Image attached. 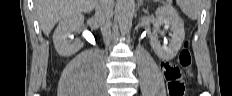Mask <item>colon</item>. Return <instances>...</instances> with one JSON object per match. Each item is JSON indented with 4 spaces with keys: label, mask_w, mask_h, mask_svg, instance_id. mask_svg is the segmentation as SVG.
I'll use <instances>...</instances> for the list:
<instances>
[{
    "label": "colon",
    "mask_w": 232,
    "mask_h": 96,
    "mask_svg": "<svg viewBox=\"0 0 232 96\" xmlns=\"http://www.w3.org/2000/svg\"><path fill=\"white\" fill-rule=\"evenodd\" d=\"M191 53L189 49V41L186 40L183 48L179 53L177 63H171V68H163L165 77L168 81V89L170 96H183L185 90V81L181 68H187L191 65Z\"/></svg>",
    "instance_id": "obj_1"
}]
</instances>
